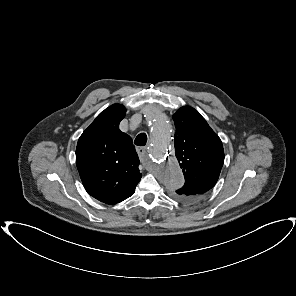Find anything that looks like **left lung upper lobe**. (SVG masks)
<instances>
[{
    "instance_id": "5c2ea615",
    "label": "left lung upper lobe",
    "mask_w": 296,
    "mask_h": 296,
    "mask_svg": "<svg viewBox=\"0 0 296 296\" xmlns=\"http://www.w3.org/2000/svg\"><path fill=\"white\" fill-rule=\"evenodd\" d=\"M175 154L185 177L172 196L183 202L203 198L216 184L224 163L223 145L198 111L181 107L173 115Z\"/></svg>"
}]
</instances>
